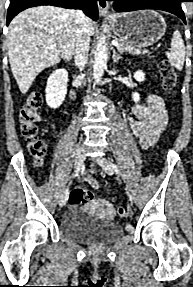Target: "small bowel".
<instances>
[{"mask_svg":"<svg viewBox=\"0 0 193 287\" xmlns=\"http://www.w3.org/2000/svg\"><path fill=\"white\" fill-rule=\"evenodd\" d=\"M132 113V116L127 117V123L133 134L140 140L142 147L152 145L167 123L163 100L155 94H149L133 107ZM87 179L96 185L94 180Z\"/></svg>","mask_w":193,"mask_h":287,"instance_id":"small-bowel-1","label":"small bowel"}]
</instances>
